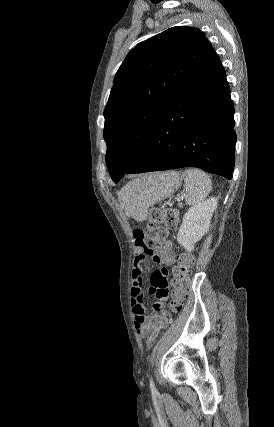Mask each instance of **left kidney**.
I'll list each match as a JSON object with an SVG mask.
<instances>
[{"label": "left kidney", "instance_id": "obj_1", "mask_svg": "<svg viewBox=\"0 0 274 427\" xmlns=\"http://www.w3.org/2000/svg\"><path fill=\"white\" fill-rule=\"evenodd\" d=\"M217 204L218 198H210L206 202L192 206L187 214H184L182 225L177 233V241L186 251H193L196 241H199L208 231L210 219Z\"/></svg>", "mask_w": 274, "mask_h": 427}]
</instances>
